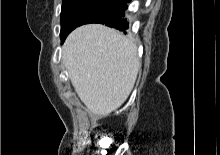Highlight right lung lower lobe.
<instances>
[{
  "label": "right lung lower lobe",
  "instance_id": "obj_1",
  "mask_svg": "<svg viewBox=\"0 0 220 155\" xmlns=\"http://www.w3.org/2000/svg\"><path fill=\"white\" fill-rule=\"evenodd\" d=\"M127 2H129V0H124L123 3H121L120 5L97 15L96 17L88 21L86 24L100 23L119 30L128 29L127 21L124 18H122L124 16L125 10H127Z\"/></svg>",
  "mask_w": 220,
  "mask_h": 155
}]
</instances>
